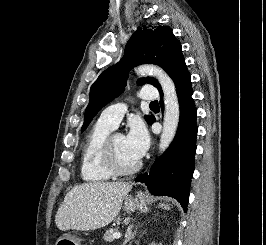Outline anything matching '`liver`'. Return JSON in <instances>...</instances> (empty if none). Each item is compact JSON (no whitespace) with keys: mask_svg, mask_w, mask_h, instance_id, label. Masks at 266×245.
<instances>
[{"mask_svg":"<svg viewBox=\"0 0 266 245\" xmlns=\"http://www.w3.org/2000/svg\"><path fill=\"white\" fill-rule=\"evenodd\" d=\"M131 183H83L67 193L55 223L60 231H94L117 217Z\"/></svg>","mask_w":266,"mask_h":245,"instance_id":"obj_1","label":"liver"}]
</instances>
